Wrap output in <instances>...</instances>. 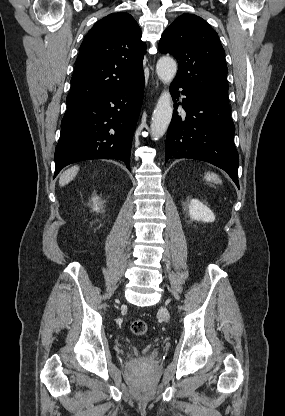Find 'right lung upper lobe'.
I'll return each mask as SVG.
<instances>
[{
    "label": "right lung upper lobe",
    "instance_id": "cb5924a9",
    "mask_svg": "<svg viewBox=\"0 0 285 416\" xmlns=\"http://www.w3.org/2000/svg\"><path fill=\"white\" fill-rule=\"evenodd\" d=\"M141 36L137 22L124 12L96 22L80 46L67 108L105 98L144 77Z\"/></svg>",
    "mask_w": 285,
    "mask_h": 416
}]
</instances>
